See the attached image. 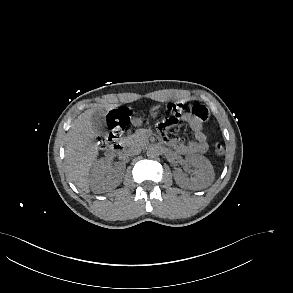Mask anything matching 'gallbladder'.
Wrapping results in <instances>:
<instances>
[{
    "instance_id": "bac80fb5",
    "label": "gallbladder",
    "mask_w": 293,
    "mask_h": 293,
    "mask_svg": "<svg viewBox=\"0 0 293 293\" xmlns=\"http://www.w3.org/2000/svg\"><path fill=\"white\" fill-rule=\"evenodd\" d=\"M105 115L106 110L103 108H98L91 116L93 127L99 134H103L106 131Z\"/></svg>"
}]
</instances>
